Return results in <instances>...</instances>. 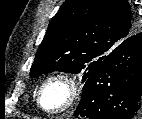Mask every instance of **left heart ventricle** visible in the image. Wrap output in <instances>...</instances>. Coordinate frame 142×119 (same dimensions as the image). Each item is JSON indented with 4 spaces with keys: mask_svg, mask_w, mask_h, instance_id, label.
<instances>
[{
    "mask_svg": "<svg viewBox=\"0 0 142 119\" xmlns=\"http://www.w3.org/2000/svg\"><path fill=\"white\" fill-rule=\"evenodd\" d=\"M66 98V89L60 83L50 85L43 96V103L47 107H57L63 103Z\"/></svg>",
    "mask_w": 142,
    "mask_h": 119,
    "instance_id": "b2bd125f",
    "label": "left heart ventricle"
}]
</instances>
